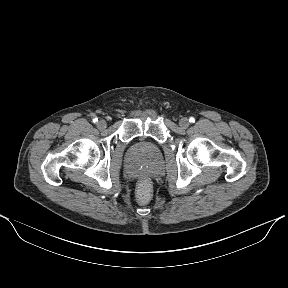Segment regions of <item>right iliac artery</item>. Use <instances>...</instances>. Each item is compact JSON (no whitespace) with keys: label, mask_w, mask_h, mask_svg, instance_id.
I'll list each match as a JSON object with an SVG mask.
<instances>
[{"label":"right iliac artery","mask_w":288,"mask_h":288,"mask_svg":"<svg viewBox=\"0 0 288 288\" xmlns=\"http://www.w3.org/2000/svg\"><path fill=\"white\" fill-rule=\"evenodd\" d=\"M93 122H94V123L98 122V119H97V118H94V119H93Z\"/></svg>","instance_id":"1"}]
</instances>
